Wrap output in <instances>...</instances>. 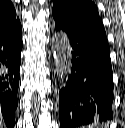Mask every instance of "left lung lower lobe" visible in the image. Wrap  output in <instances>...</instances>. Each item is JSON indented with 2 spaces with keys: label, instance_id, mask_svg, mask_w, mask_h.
Here are the masks:
<instances>
[{
  "label": "left lung lower lobe",
  "instance_id": "0a47b994",
  "mask_svg": "<svg viewBox=\"0 0 125 128\" xmlns=\"http://www.w3.org/2000/svg\"><path fill=\"white\" fill-rule=\"evenodd\" d=\"M70 41L71 69L60 90L61 128L104 125L112 119L113 77L108 41L55 24Z\"/></svg>",
  "mask_w": 125,
  "mask_h": 128
}]
</instances>
